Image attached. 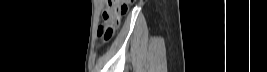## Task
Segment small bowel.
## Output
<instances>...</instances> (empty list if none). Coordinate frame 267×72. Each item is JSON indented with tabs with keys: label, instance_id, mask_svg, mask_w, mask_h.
I'll use <instances>...</instances> for the list:
<instances>
[{
	"label": "small bowel",
	"instance_id": "small-bowel-1",
	"mask_svg": "<svg viewBox=\"0 0 267 72\" xmlns=\"http://www.w3.org/2000/svg\"><path fill=\"white\" fill-rule=\"evenodd\" d=\"M107 12H108V4H107V7H106V9H105V11H104V13H103V17H104V18L107 16Z\"/></svg>",
	"mask_w": 267,
	"mask_h": 72
}]
</instances>
